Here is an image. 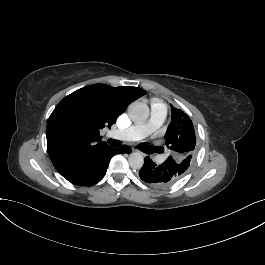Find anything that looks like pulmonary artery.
I'll use <instances>...</instances> for the list:
<instances>
[{
  "mask_svg": "<svg viewBox=\"0 0 265 265\" xmlns=\"http://www.w3.org/2000/svg\"><path fill=\"white\" fill-rule=\"evenodd\" d=\"M150 111L153 113V117H150L144 123L136 125L134 129H115L113 131V138L115 140L125 139H141L147 137L149 132H154L156 128H159L163 123L164 118L169 116L170 104L163 102L161 104H152Z\"/></svg>",
  "mask_w": 265,
  "mask_h": 265,
  "instance_id": "obj_1",
  "label": "pulmonary artery"
}]
</instances>
